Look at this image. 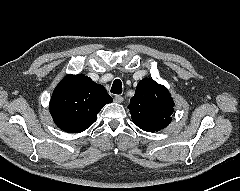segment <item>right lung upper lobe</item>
<instances>
[{
    "label": "right lung upper lobe",
    "mask_w": 240,
    "mask_h": 191,
    "mask_svg": "<svg viewBox=\"0 0 240 191\" xmlns=\"http://www.w3.org/2000/svg\"><path fill=\"white\" fill-rule=\"evenodd\" d=\"M112 101L103 85L83 74H69L56 86L49 110L61 130L78 133L90 127L102 107Z\"/></svg>",
    "instance_id": "obj_1"
}]
</instances>
